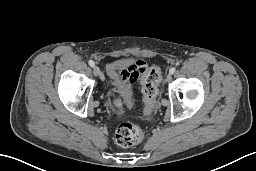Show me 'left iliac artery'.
I'll list each match as a JSON object with an SVG mask.
<instances>
[{"label":"left iliac artery","instance_id":"obj_1","mask_svg":"<svg viewBox=\"0 0 256 171\" xmlns=\"http://www.w3.org/2000/svg\"><path fill=\"white\" fill-rule=\"evenodd\" d=\"M175 71H176V68H175V67H172V68L169 70V72H170L171 74H173Z\"/></svg>","mask_w":256,"mask_h":171}]
</instances>
